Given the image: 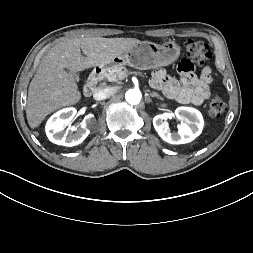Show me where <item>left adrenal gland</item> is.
Here are the masks:
<instances>
[{
    "label": "left adrenal gland",
    "mask_w": 253,
    "mask_h": 253,
    "mask_svg": "<svg viewBox=\"0 0 253 253\" xmlns=\"http://www.w3.org/2000/svg\"><path fill=\"white\" fill-rule=\"evenodd\" d=\"M150 96L153 98V97H156V98H158V99H160V100H163V98L159 95V94H157L156 92H153V93H150Z\"/></svg>",
    "instance_id": "obj_1"
}]
</instances>
